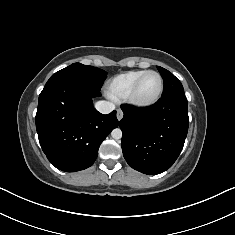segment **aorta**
<instances>
[{
    "instance_id": "1",
    "label": "aorta",
    "mask_w": 235,
    "mask_h": 235,
    "mask_svg": "<svg viewBox=\"0 0 235 235\" xmlns=\"http://www.w3.org/2000/svg\"><path fill=\"white\" fill-rule=\"evenodd\" d=\"M111 136H112L114 139H116V140L121 139V137H122V131H121V129H119V128L114 129V130L111 132Z\"/></svg>"
}]
</instances>
